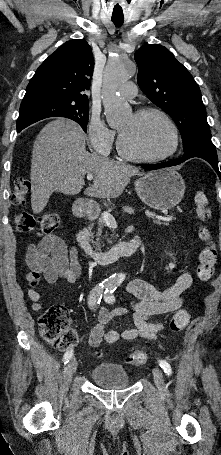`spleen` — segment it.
<instances>
[{
    "instance_id": "1",
    "label": "spleen",
    "mask_w": 221,
    "mask_h": 455,
    "mask_svg": "<svg viewBox=\"0 0 221 455\" xmlns=\"http://www.w3.org/2000/svg\"><path fill=\"white\" fill-rule=\"evenodd\" d=\"M194 201L197 205V214L200 218H204L205 214L208 217L211 216V211L209 209H205V206L208 204V200L204 192L198 191L195 195Z\"/></svg>"
}]
</instances>
